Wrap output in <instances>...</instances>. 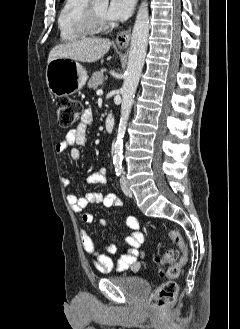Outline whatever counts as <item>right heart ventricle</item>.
I'll use <instances>...</instances> for the list:
<instances>
[{"instance_id":"e07e8e85","label":"right heart ventricle","mask_w":240,"mask_h":329,"mask_svg":"<svg viewBox=\"0 0 240 329\" xmlns=\"http://www.w3.org/2000/svg\"><path fill=\"white\" fill-rule=\"evenodd\" d=\"M89 0H64L58 15L60 38L64 42H75L92 34L83 24Z\"/></svg>"}]
</instances>
